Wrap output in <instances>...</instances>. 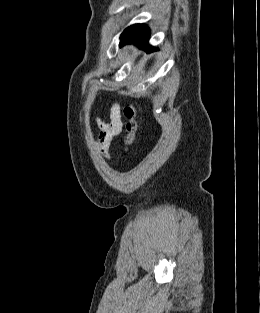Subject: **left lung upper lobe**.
<instances>
[{"instance_id":"5c2ea615","label":"left lung upper lobe","mask_w":260,"mask_h":313,"mask_svg":"<svg viewBox=\"0 0 260 313\" xmlns=\"http://www.w3.org/2000/svg\"><path fill=\"white\" fill-rule=\"evenodd\" d=\"M129 29V27L128 28H126L125 30H124V32H126L127 30ZM124 33H122V35H123ZM122 35H121V37H122Z\"/></svg>"}]
</instances>
